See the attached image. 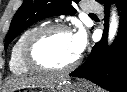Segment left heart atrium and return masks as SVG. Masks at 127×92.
Masks as SVG:
<instances>
[{
  "mask_svg": "<svg viewBox=\"0 0 127 92\" xmlns=\"http://www.w3.org/2000/svg\"><path fill=\"white\" fill-rule=\"evenodd\" d=\"M73 42L76 53L80 55L86 46V35L82 29H79L76 33L72 34Z\"/></svg>",
  "mask_w": 127,
  "mask_h": 92,
  "instance_id": "39dd6f15",
  "label": "left heart atrium"
}]
</instances>
